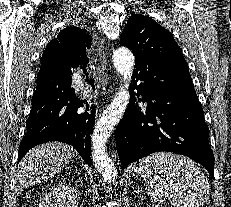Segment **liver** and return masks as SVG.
I'll return each mask as SVG.
<instances>
[{
    "label": "liver",
    "mask_w": 231,
    "mask_h": 207,
    "mask_svg": "<svg viewBox=\"0 0 231 207\" xmlns=\"http://www.w3.org/2000/svg\"><path fill=\"white\" fill-rule=\"evenodd\" d=\"M75 154L73 147L58 142H49L31 149L18 166L16 191L54 177Z\"/></svg>",
    "instance_id": "1"
}]
</instances>
